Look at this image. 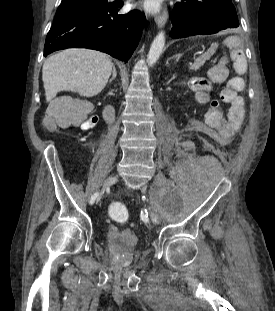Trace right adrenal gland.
<instances>
[{"instance_id":"2a0ac1e0","label":"right adrenal gland","mask_w":275,"mask_h":311,"mask_svg":"<svg viewBox=\"0 0 275 311\" xmlns=\"http://www.w3.org/2000/svg\"><path fill=\"white\" fill-rule=\"evenodd\" d=\"M112 67H113V72H112V77H111V79L109 80V82H112V81L117 77V71H116L115 65L112 64Z\"/></svg>"}]
</instances>
